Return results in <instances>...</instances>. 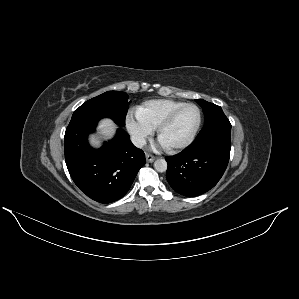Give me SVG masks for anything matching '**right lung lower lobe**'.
<instances>
[{"label": "right lung lower lobe", "instance_id": "1", "mask_svg": "<svg viewBox=\"0 0 299 299\" xmlns=\"http://www.w3.org/2000/svg\"><path fill=\"white\" fill-rule=\"evenodd\" d=\"M99 120L70 121L64 138L65 161L71 178L83 193L97 202L111 203L127 193L146 160L123 129H118L102 148L92 149L87 138Z\"/></svg>", "mask_w": 299, "mask_h": 299}]
</instances>
